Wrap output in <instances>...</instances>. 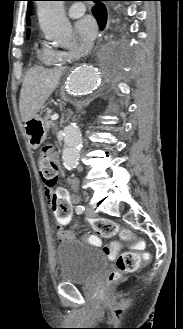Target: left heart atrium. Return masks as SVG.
Listing matches in <instances>:
<instances>
[{"instance_id": "39dd6f15", "label": "left heart atrium", "mask_w": 183, "mask_h": 329, "mask_svg": "<svg viewBox=\"0 0 183 329\" xmlns=\"http://www.w3.org/2000/svg\"><path fill=\"white\" fill-rule=\"evenodd\" d=\"M76 30L83 40L92 41L97 33L96 21L91 16H85L77 22Z\"/></svg>"}]
</instances>
